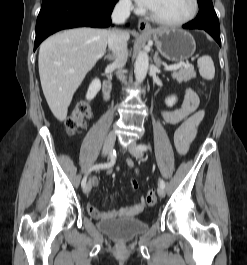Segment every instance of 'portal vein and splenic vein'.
Masks as SVG:
<instances>
[{
  "label": "portal vein and splenic vein",
  "instance_id": "obj_1",
  "mask_svg": "<svg viewBox=\"0 0 247 265\" xmlns=\"http://www.w3.org/2000/svg\"><path fill=\"white\" fill-rule=\"evenodd\" d=\"M189 67V64H185V63H179V64H175V65H169V66H165V70H178L182 67Z\"/></svg>",
  "mask_w": 247,
  "mask_h": 265
}]
</instances>
